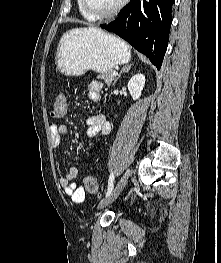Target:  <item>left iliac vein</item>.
I'll list each match as a JSON object with an SVG mask.
<instances>
[{
	"label": "left iliac vein",
	"mask_w": 221,
	"mask_h": 263,
	"mask_svg": "<svg viewBox=\"0 0 221 263\" xmlns=\"http://www.w3.org/2000/svg\"><path fill=\"white\" fill-rule=\"evenodd\" d=\"M131 173V169H128L125 174L122 176V178L119 180V182L117 183L116 187L113 189V191L110 193L109 196H107L106 199H104L99 205H98V209H103L106 206H108L109 204H111L121 193V191L123 190L125 184L127 183V180L130 176Z\"/></svg>",
	"instance_id": "left-iliac-vein-1"
}]
</instances>
